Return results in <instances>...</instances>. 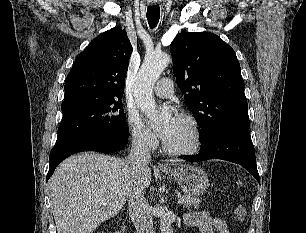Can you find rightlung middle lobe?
<instances>
[{"label":"right lung middle lobe","instance_id":"right-lung-middle-lobe-1","mask_svg":"<svg viewBox=\"0 0 306 233\" xmlns=\"http://www.w3.org/2000/svg\"><path fill=\"white\" fill-rule=\"evenodd\" d=\"M56 144L85 134L128 136L126 115L117 99L80 98L63 102Z\"/></svg>","mask_w":306,"mask_h":233}]
</instances>
